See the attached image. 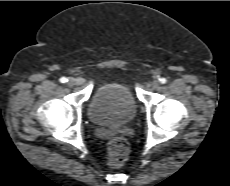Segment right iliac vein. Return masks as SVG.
Instances as JSON below:
<instances>
[{
    "mask_svg": "<svg viewBox=\"0 0 230 186\" xmlns=\"http://www.w3.org/2000/svg\"><path fill=\"white\" fill-rule=\"evenodd\" d=\"M78 83H79V81L77 79H74V78H71V79L68 80V85L69 86H74V85H76Z\"/></svg>",
    "mask_w": 230,
    "mask_h": 186,
    "instance_id": "63e3f726",
    "label": "right iliac vein"
}]
</instances>
